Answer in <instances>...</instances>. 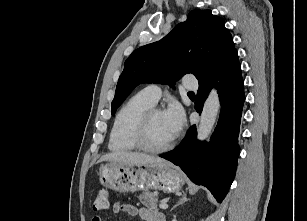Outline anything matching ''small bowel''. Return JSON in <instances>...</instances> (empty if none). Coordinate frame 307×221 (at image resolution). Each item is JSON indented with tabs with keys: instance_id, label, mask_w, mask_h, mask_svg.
Segmentation results:
<instances>
[{
	"instance_id": "obj_1",
	"label": "small bowel",
	"mask_w": 307,
	"mask_h": 221,
	"mask_svg": "<svg viewBox=\"0 0 307 221\" xmlns=\"http://www.w3.org/2000/svg\"><path fill=\"white\" fill-rule=\"evenodd\" d=\"M113 213H125L128 216L139 215L144 221H165L162 213L156 209L140 208L138 209L134 205L128 203H116L112 207ZM92 221H102V215L98 214L92 218Z\"/></svg>"
}]
</instances>
